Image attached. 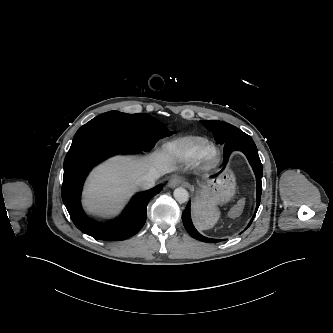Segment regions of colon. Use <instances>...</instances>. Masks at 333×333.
I'll use <instances>...</instances> for the list:
<instances>
[{
	"label": "colon",
	"mask_w": 333,
	"mask_h": 333,
	"mask_svg": "<svg viewBox=\"0 0 333 333\" xmlns=\"http://www.w3.org/2000/svg\"><path fill=\"white\" fill-rule=\"evenodd\" d=\"M245 202L243 200H240L232 209L231 214L233 216L238 215L244 208Z\"/></svg>",
	"instance_id": "5ec220e1"
}]
</instances>
